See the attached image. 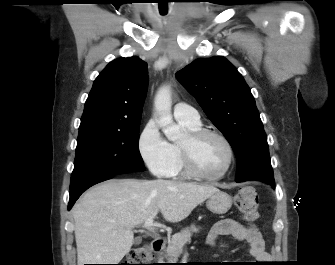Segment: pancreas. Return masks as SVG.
Segmentation results:
<instances>
[{
	"instance_id": "obj_1",
	"label": "pancreas",
	"mask_w": 335,
	"mask_h": 265,
	"mask_svg": "<svg viewBox=\"0 0 335 265\" xmlns=\"http://www.w3.org/2000/svg\"><path fill=\"white\" fill-rule=\"evenodd\" d=\"M198 232L199 228H196L195 225H191L181 230V232L174 234L172 238L168 240L165 254L160 257V260L166 258L169 262L177 261L178 257L182 254L184 245L191 242L193 233Z\"/></svg>"
}]
</instances>
